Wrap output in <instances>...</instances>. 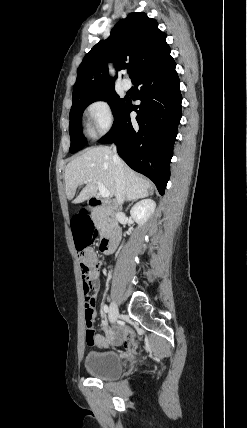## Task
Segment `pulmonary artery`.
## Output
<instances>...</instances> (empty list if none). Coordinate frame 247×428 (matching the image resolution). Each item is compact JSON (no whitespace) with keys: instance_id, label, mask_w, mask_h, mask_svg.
<instances>
[{"instance_id":"e3ab8cb5","label":"pulmonary artery","mask_w":247,"mask_h":428,"mask_svg":"<svg viewBox=\"0 0 247 428\" xmlns=\"http://www.w3.org/2000/svg\"><path fill=\"white\" fill-rule=\"evenodd\" d=\"M121 84L124 90H128L131 87V83L128 80H123Z\"/></svg>"}]
</instances>
